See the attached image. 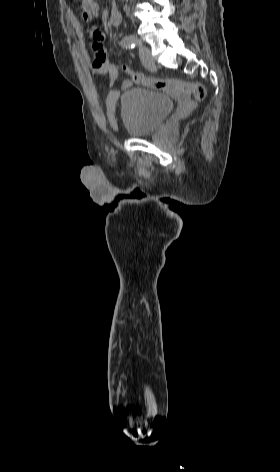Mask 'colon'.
<instances>
[{
  "mask_svg": "<svg viewBox=\"0 0 280 472\" xmlns=\"http://www.w3.org/2000/svg\"><path fill=\"white\" fill-rule=\"evenodd\" d=\"M80 5L82 17L90 21L97 16L98 5L95 0H77ZM123 71L126 72L130 80L137 84H142L154 89L162 90L168 93L182 91L192 95L196 100L200 101L205 98V87L196 82H185L177 79H157L145 76L141 73L131 70L127 66H123Z\"/></svg>",
  "mask_w": 280,
  "mask_h": 472,
  "instance_id": "obj_1",
  "label": "colon"
}]
</instances>
